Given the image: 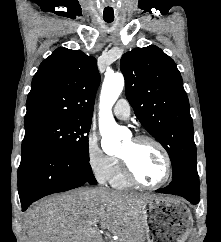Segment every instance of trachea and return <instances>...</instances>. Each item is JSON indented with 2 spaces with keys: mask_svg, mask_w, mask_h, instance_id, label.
I'll use <instances>...</instances> for the list:
<instances>
[{
  "mask_svg": "<svg viewBox=\"0 0 221 242\" xmlns=\"http://www.w3.org/2000/svg\"><path fill=\"white\" fill-rule=\"evenodd\" d=\"M104 20H105L106 22H108V23H111V22L113 21L112 18H104Z\"/></svg>",
  "mask_w": 221,
  "mask_h": 242,
  "instance_id": "trachea-1",
  "label": "trachea"
}]
</instances>
